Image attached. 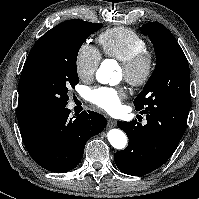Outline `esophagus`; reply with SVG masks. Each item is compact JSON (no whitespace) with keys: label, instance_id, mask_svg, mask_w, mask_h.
<instances>
[{"label":"esophagus","instance_id":"obj_1","mask_svg":"<svg viewBox=\"0 0 199 199\" xmlns=\"http://www.w3.org/2000/svg\"><path fill=\"white\" fill-rule=\"evenodd\" d=\"M107 125H108V127H115L116 126V122H115V120L109 118L107 120Z\"/></svg>","mask_w":199,"mask_h":199}]
</instances>
